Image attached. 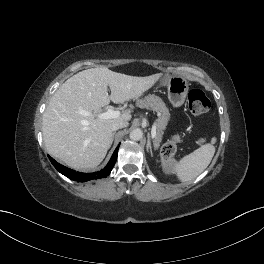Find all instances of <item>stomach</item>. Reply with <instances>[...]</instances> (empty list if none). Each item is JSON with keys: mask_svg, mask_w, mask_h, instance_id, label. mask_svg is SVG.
Instances as JSON below:
<instances>
[{"mask_svg": "<svg viewBox=\"0 0 264 264\" xmlns=\"http://www.w3.org/2000/svg\"><path fill=\"white\" fill-rule=\"evenodd\" d=\"M159 85L167 87L168 99L174 107H179L184 103L189 90L188 82L184 77L162 74Z\"/></svg>", "mask_w": 264, "mask_h": 264, "instance_id": "0dacf381", "label": "stomach"}]
</instances>
